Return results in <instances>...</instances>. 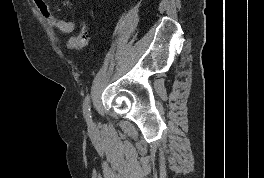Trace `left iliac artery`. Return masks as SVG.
<instances>
[{"label":"left iliac artery","instance_id":"obj_1","mask_svg":"<svg viewBox=\"0 0 264 178\" xmlns=\"http://www.w3.org/2000/svg\"><path fill=\"white\" fill-rule=\"evenodd\" d=\"M91 101H90V95L87 94V96L84 99L83 102V114L87 120L91 118Z\"/></svg>","mask_w":264,"mask_h":178}]
</instances>
